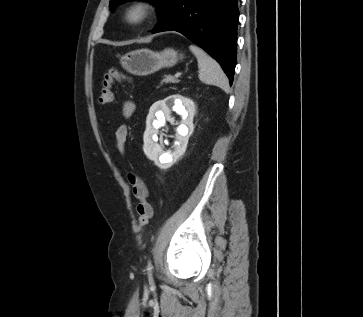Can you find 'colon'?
Listing matches in <instances>:
<instances>
[{"instance_id":"obj_1","label":"colon","mask_w":363,"mask_h":317,"mask_svg":"<svg viewBox=\"0 0 363 317\" xmlns=\"http://www.w3.org/2000/svg\"><path fill=\"white\" fill-rule=\"evenodd\" d=\"M127 77L117 69H109L103 79L102 87L98 94L100 104H110L114 100L113 85L115 82L126 81ZM129 182L133 188L134 196L138 199V226L143 229L149 223L153 208L148 201L149 191L143 178L136 172L129 174Z\"/></svg>"}]
</instances>
